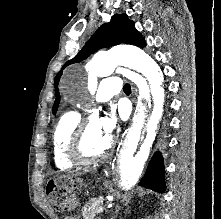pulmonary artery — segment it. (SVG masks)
I'll list each match as a JSON object with an SVG mask.
<instances>
[{"label":"pulmonary artery","mask_w":221,"mask_h":219,"mask_svg":"<svg viewBox=\"0 0 221 219\" xmlns=\"http://www.w3.org/2000/svg\"><path fill=\"white\" fill-rule=\"evenodd\" d=\"M121 90V84L118 76H109L104 78L96 92L95 99L98 102L110 100L115 94Z\"/></svg>","instance_id":"pulmonary-artery-1"}]
</instances>
